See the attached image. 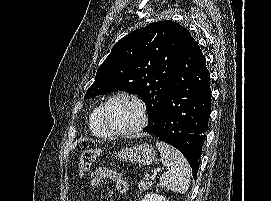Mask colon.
Wrapping results in <instances>:
<instances>
[{
	"label": "colon",
	"mask_w": 271,
	"mask_h": 201,
	"mask_svg": "<svg viewBox=\"0 0 271 201\" xmlns=\"http://www.w3.org/2000/svg\"><path fill=\"white\" fill-rule=\"evenodd\" d=\"M99 153L100 151L98 149H90L83 152L78 164V172L81 180H86L91 165L98 157Z\"/></svg>",
	"instance_id": "1"
}]
</instances>
